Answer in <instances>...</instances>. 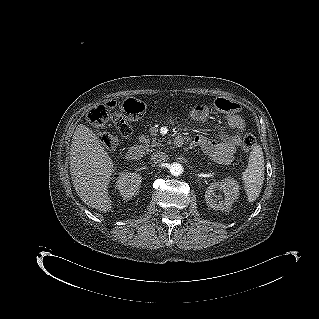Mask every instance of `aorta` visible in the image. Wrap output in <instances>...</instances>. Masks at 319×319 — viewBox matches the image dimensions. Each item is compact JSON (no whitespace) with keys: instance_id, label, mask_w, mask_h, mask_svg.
Wrapping results in <instances>:
<instances>
[{"instance_id":"762f6f07","label":"aorta","mask_w":319,"mask_h":319,"mask_svg":"<svg viewBox=\"0 0 319 319\" xmlns=\"http://www.w3.org/2000/svg\"><path fill=\"white\" fill-rule=\"evenodd\" d=\"M169 171L173 176H180L183 173V167L179 163H172L169 167Z\"/></svg>"}]
</instances>
